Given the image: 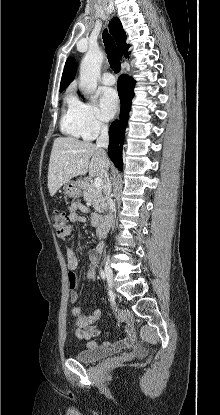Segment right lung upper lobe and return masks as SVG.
I'll list each match as a JSON object with an SVG mask.
<instances>
[{"instance_id":"right-lung-upper-lobe-1","label":"right lung upper lobe","mask_w":220,"mask_h":415,"mask_svg":"<svg viewBox=\"0 0 220 415\" xmlns=\"http://www.w3.org/2000/svg\"><path fill=\"white\" fill-rule=\"evenodd\" d=\"M110 32L113 35L120 56L125 55L128 56V48L129 45L126 44V33L122 28V24L120 20L115 17L112 19V21L109 24ZM76 73V62L73 58L67 59L64 67V71L62 74L61 84H60V90H64L75 78Z\"/></svg>"}]
</instances>
